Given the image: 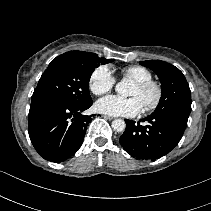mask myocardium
I'll list each match as a JSON object with an SVG mask.
<instances>
[{"label":"myocardium","mask_w":211,"mask_h":211,"mask_svg":"<svg viewBox=\"0 0 211 211\" xmlns=\"http://www.w3.org/2000/svg\"><path fill=\"white\" fill-rule=\"evenodd\" d=\"M141 90L153 89L155 91V97L152 102L143 106V109L147 112L156 110L163 99V86L159 81L148 79L144 81H137L135 84Z\"/></svg>","instance_id":"1"}]
</instances>
